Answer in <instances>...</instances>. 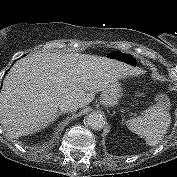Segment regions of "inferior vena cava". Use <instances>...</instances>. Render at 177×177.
<instances>
[{
	"label": "inferior vena cava",
	"instance_id": "inferior-vena-cava-1",
	"mask_svg": "<svg viewBox=\"0 0 177 177\" xmlns=\"http://www.w3.org/2000/svg\"><path fill=\"white\" fill-rule=\"evenodd\" d=\"M79 104L77 102L66 101L62 103L59 108L62 112H73L79 108Z\"/></svg>",
	"mask_w": 177,
	"mask_h": 177
}]
</instances>
